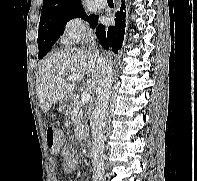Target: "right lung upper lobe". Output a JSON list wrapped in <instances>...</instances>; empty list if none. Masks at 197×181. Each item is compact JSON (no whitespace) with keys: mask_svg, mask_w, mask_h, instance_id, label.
Returning a JSON list of instances; mask_svg holds the SVG:
<instances>
[{"mask_svg":"<svg viewBox=\"0 0 197 181\" xmlns=\"http://www.w3.org/2000/svg\"><path fill=\"white\" fill-rule=\"evenodd\" d=\"M82 8L81 0H44L41 18Z\"/></svg>","mask_w":197,"mask_h":181,"instance_id":"obj_1","label":"right lung upper lobe"}]
</instances>
